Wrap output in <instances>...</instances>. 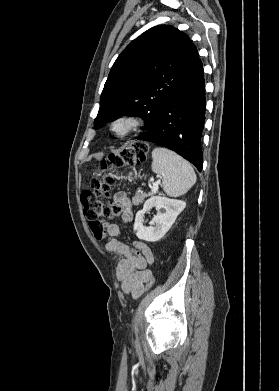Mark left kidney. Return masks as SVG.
<instances>
[{
    "mask_svg": "<svg viewBox=\"0 0 279 391\" xmlns=\"http://www.w3.org/2000/svg\"><path fill=\"white\" fill-rule=\"evenodd\" d=\"M156 207L157 214L153 218L155 226L146 227L144 223V214ZM186 203L178 199H170L162 196H153L148 199L141 211H138L134 222V231L136 236L147 242H156L160 240L171 228L177 216L184 210ZM163 210V212H161Z\"/></svg>",
    "mask_w": 279,
    "mask_h": 391,
    "instance_id": "5707ae66",
    "label": "left kidney"
}]
</instances>
